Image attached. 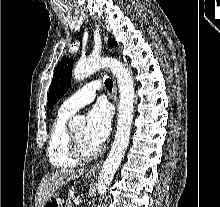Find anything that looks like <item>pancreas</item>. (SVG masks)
Wrapping results in <instances>:
<instances>
[{
	"instance_id": "cf45deb5",
	"label": "pancreas",
	"mask_w": 220,
	"mask_h": 207,
	"mask_svg": "<svg viewBox=\"0 0 220 207\" xmlns=\"http://www.w3.org/2000/svg\"><path fill=\"white\" fill-rule=\"evenodd\" d=\"M65 207H74L70 200H67Z\"/></svg>"
}]
</instances>
